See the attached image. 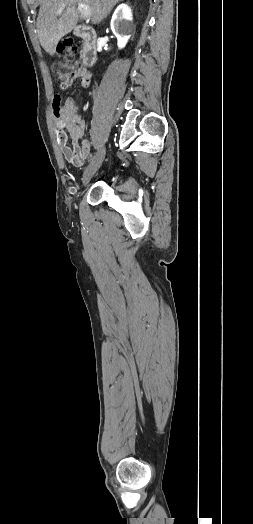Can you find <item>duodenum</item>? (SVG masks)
I'll list each match as a JSON object with an SVG mask.
<instances>
[{
	"label": "duodenum",
	"mask_w": 253,
	"mask_h": 524,
	"mask_svg": "<svg viewBox=\"0 0 253 524\" xmlns=\"http://www.w3.org/2000/svg\"><path fill=\"white\" fill-rule=\"evenodd\" d=\"M75 35L83 42L82 62L85 66L91 67L95 64L98 43L95 31L89 26H79L75 30Z\"/></svg>",
	"instance_id": "obj_1"
}]
</instances>
